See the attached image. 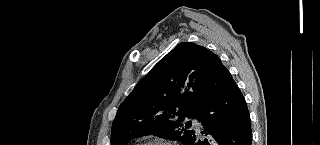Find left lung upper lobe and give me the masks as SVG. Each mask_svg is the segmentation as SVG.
<instances>
[{
    "label": "left lung upper lobe",
    "instance_id": "5c2ea615",
    "mask_svg": "<svg viewBox=\"0 0 320 145\" xmlns=\"http://www.w3.org/2000/svg\"><path fill=\"white\" fill-rule=\"evenodd\" d=\"M220 58L207 48L183 42L164 56L120 105L111 145L155 135L187 145L202 104V85Z\"/></svg>",
    "mask_w": 320,
    "mask_h": 145
}]
</instances>
